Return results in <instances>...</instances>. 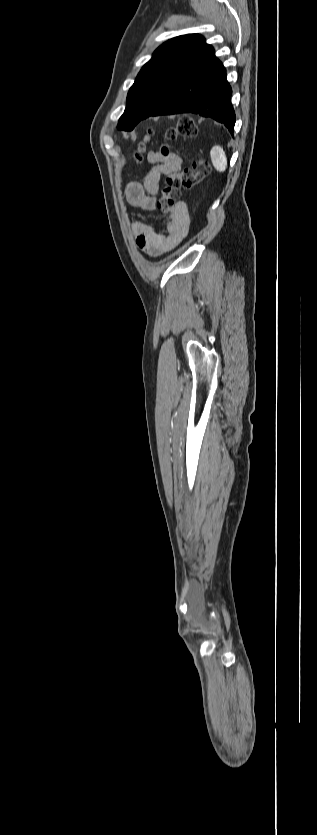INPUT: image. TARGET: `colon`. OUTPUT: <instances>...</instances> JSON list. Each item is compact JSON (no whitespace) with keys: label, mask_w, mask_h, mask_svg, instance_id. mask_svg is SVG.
I'll return each instance as SVG.
<instances>
[{"label":"colon","mask_w":317,"mask_h":835,"mask_svg":"<svg viewBox=\"0 0 317 835\" xmlns=\"http://www.w3.org/2000/svg\"><path fill=\"white\" fill-rule=\"evenodd\" d=\"M152 133L151 131L149 132ZM198 134L197 126L191 117L184 116L180 118L174 128L167 130L165 139L167 142L174 141L178 138H194ZM146 139L139 143L135 158L137 161L142 160V153L145 148ZM170 153L168 143L161 146V154L168 156ZM211 173L210 164L202 159L195 158L191 163V167L184 169L178 174H170L166 176L165 184L162 189L161 197L158 202V209L163 215H170L175 207L178 205L181 192L183 189H190Z\"/></svg>","instance_id":"obj_1"}]
</instances>
